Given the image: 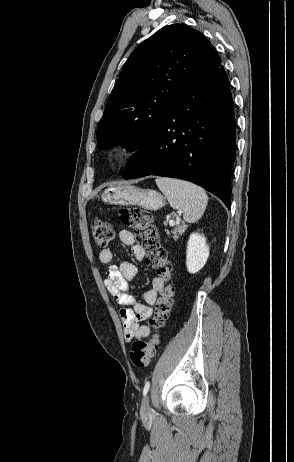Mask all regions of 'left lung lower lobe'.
Here are the masks:
<instances>
[{"label":"left lung lower lobe","instance_id":"0a47b994","mask_svg":"<svg viewBox=\"0 0 294 462\" xmlns=\"http://www.w3.org/2000/svg\"><path fill=\"white\" fill-rule=\"evenodd\" d=\"M236 121L221 62L190 84L156 135L129 160L123 178L149 175L193 182L230 209Z\"/></svg>","mask_w":294,"mask_h":462}]
</instances>
